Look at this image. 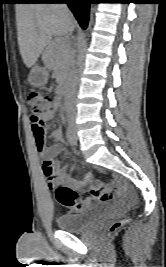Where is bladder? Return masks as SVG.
Returning a JSON list of instances; mask_svg holds the SVG:
<instances>
[{
    "mask_svg": "<svg viewBox=\"0 0 166 267\" xmlns=\"http://www.w3.org/2000/svg\"><path fill=\"white\" fill-rule=\"evenodd\" d=\"M98 212V210H87L79 213L63 214L57 218L56 223L60 230L69 232L80 231L98 221Z\"/></svg>",
    "mask_w": 166,
    "mask_h": 267,
    "instance_id": "31cf9c89",
    "label": "bladder"
}]
</instances>
